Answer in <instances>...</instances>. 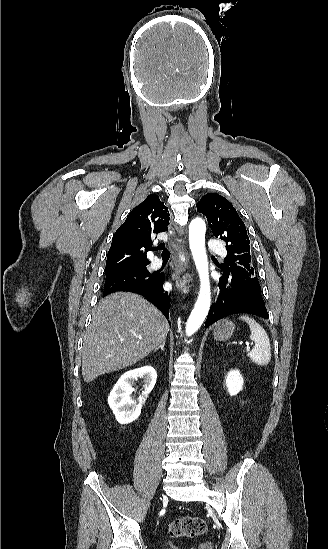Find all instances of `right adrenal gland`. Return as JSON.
Listing matches in <instances>:
<instances>
[{"label": "right adrenal gland", "mask_w": 328, "mask_h": 549, "mask_svg": "<svg viewBox=\"0 0 328 549\" xmlns=\"http://www.w3.org/2000/svg\"><path fill=\"white\" fill-rule=\"evenodd\" d=\"M164 347H165V341H164V343H162V345H160V347H157V349H155V351H158V349H161V351H164Z\"/></svg>", "instance_id": "1"}]
</instances>
